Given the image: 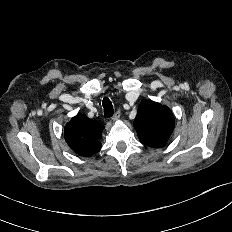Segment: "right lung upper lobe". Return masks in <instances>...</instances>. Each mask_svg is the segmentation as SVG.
Listing matches in <instances>:
<instances>
[{
    "instance_id": "right-lung-upper-lobe-1",
    "label": "right lung upper lobe",
    "mask_w": 232,
    "mask_h": 232,
    "mask_svg": "<svg viewBox=\"0 0 232 232\" xmlns=\"http://www.w3.org/2000/svg\"><path fill=\"white\" fill-rule=\"evenodd\" d=\"M104 126L78 113L65 126V141L78 155L90 157L101 148L99 139Z\"/></svg>"
}]
</instances>
